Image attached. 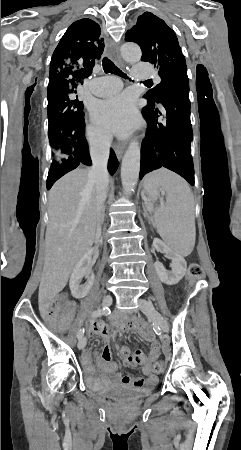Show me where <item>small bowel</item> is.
Returning a JSON list of instances; mask_svg holds the SVG:
<instances>
[{
    "instance_id": "obj_1",
    "label": "small bowel",
    "mask_w": 241,
    "mask_h": 450,
    "mask_svg": "<svg viewBox=\"0 0 241 450\" xmlns=\"http://www.w3.org/2000/svg\"><path fill=\"white\" fill-rule=\"evenodd\" d=\"M42 310L36 311L37 319H57L59 317V307H65L67 304L64 302L44 300L42 302ZM57 305V306H56ZM74 312L71 310H63L60 313L61 318L71 319L74 317ZM56 327L62 329L69 324L62 320L56 322ZM82 326L86 325L85 321L81 322ZM119 332L133 331L138 333L142 339L150 345L149 352H145L143 349H137L131 354L130 348L123 346L119 349V355L124 362L133 366H141L144 377H133L130 375H121L117 372V364L111 360V347L110 338L113 336V331L110 327L100 321L92 320L88 327V333L100 337L103 341V348L101 353V360L98 363V370L94 365L91 355L89 353L84 354V362L86 370L92 375V378L97 384L105 385H122L141 389L145 392L150 391L157 383L158 378L154 373L152 364L158 359L160 353V343L155 337L153 331L148 329H140L135 321H129L120 324L117 327Z\"/></svg>"
}]
</instances>
